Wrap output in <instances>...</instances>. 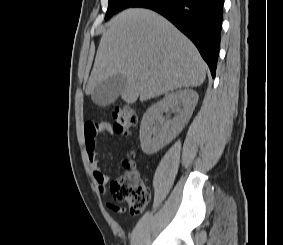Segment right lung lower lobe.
Instances as JSON below:
<instances>
[{
    "mask_svg": "<svg viewBox=\"0 0 283 245\" xmlns=\"http://www.w3.org/2000/svg\"><path fill=\"white\" fill-rule=\"evenodd\" d=\"M224 0H139L132 7L152 9L181 30L198 48L215 77Z\"/></svg>",
    "mask_w": 283,
    "mask_h": 245,
    "instance_id": "1",
    "label": "right lung lower lobe"
}]
</instances>
